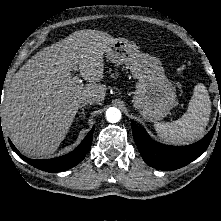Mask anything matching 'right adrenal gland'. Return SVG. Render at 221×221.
<instances>
[{"label": "right adrenal gland", "mask_w": 221, "mask_h": 221, "mask_svg": "<svg viewBox=\"0 0 221 221\" xmlns=\"http://www.w3.org/2000/svg\"><path fill=\"white\" fill-rule=\"evenodd\" d=\"M81 112L79 113V117L85 118L86 113H85V104L80 106Z\"/></svg>", "instance_id": "right-adrenal-gland-1"}]
</instances>
